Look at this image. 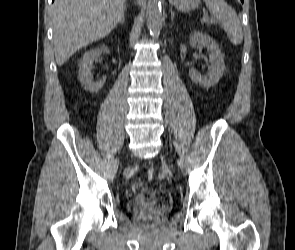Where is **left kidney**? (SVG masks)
Here are the masks:
<instances>
[{"label":"left kidney","instance_id":"obj_1","mask_svg":"<svg viewBox=\"0 0 295 250\" xmlns=\"http://www.w3.org/2000/svg\"><path fill=\"white\" fill-rule=\"evenodd\" d=\"M190 44L207 47L210 52L209 62L211 63V70L204 77H201L196 70L190 69L189 76L191 80L205 88L214 86L218 83L225 70L224 55L221 53L218 44L209 35L199 31H194L190 35Z\"/></svg>","mask_w":295,"mask_h":250}]
</instances>
